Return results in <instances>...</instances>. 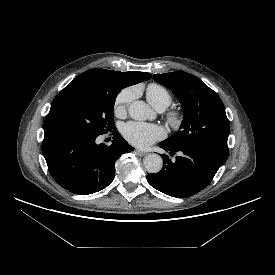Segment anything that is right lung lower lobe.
Here are the masks:
<instances>
[{
    "label": "right lung lower lobe",
    "instance_id": "obj_1",
    "mask_svg": "<svg viewBox=\"0 0 275 275\" xmlns=\"http://www.w3.org/2000/svg\"><path fill=\"white\" fill-rule=\"evenodd\" d=\"M97 136L75 132L44 134L42 152L53 179L64 189L88 195L106 188L114 179L115 162L131 147L114 132L112 144H96Z\"/></svg>",
    "mask_w": 275,
    "mask_h": 275
}]
</instances>
